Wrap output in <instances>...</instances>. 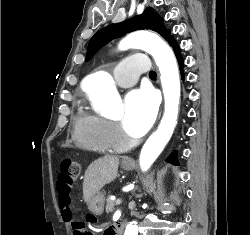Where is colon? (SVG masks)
<instances>
[{
	"mask_svg": "<svg viewBox=\"0 0 250 235\" xmlns=\"http://www.w3.org/2000/svg\"><path fill=\"white\" fill-rule=\"evenodd\" d=\"M82 165L79 160L65 159L60 165V174L57 180L58 188L65 192H70L74 181L79 177ZM75 229V235H93L85 229L84 224L74 222L72 217L69 219Z\"/></svg>",
	"mask_w": 250,
	"mask_h": 235,
	"instance_id": "obj_1",
	"label": "colon"
}]
</instances>
